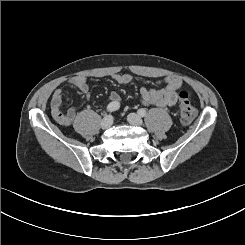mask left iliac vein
I'll use <instances>...</instances> for the list:
<instances>
[{
    "label": "left iliac vein",
    "instance_id": "4c4485c4",
    "mask_svg": "<svg viewBox=\"0 0 245 245\" xmlns=\"http://www.w3.org/2000/svg\"><path fill=\"white\" fill-rule=\"evenodd\" d=\"M127 120L130 124H133V125H142L143 124L142 118L136 113H130L127 116Z\"/></svg>",
    "mask_w": 245,
    "mask_h": 245
}]
</instances>
